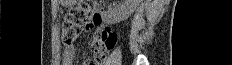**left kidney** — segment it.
Listing matches in <instances>:
<instances>
[{"label":"left kidney","instance_id":"5707ae66","mask_svg":"<svg viewBox=\"0 0 232 65\" xmlns=\"http://www.w3.org/2000/svg\"><path fill=\"white\" fill-rule=\"evenodd\" d=\"M139 0H123L113 9L106 12V21L109 24L119 23L126 20L137 8Z\"/></svg>","mask_w":232,"mask_h":65}]
</instances>
